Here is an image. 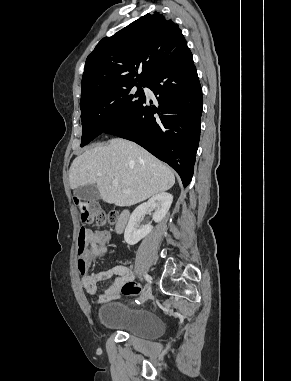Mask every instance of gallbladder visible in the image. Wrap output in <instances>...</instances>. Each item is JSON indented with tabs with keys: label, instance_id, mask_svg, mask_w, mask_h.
I'll list each match as a JSON object with an SVG mask.
<instances>
[{
	"label": "gallbladder",
	"instance_id": "obj_1",
	"mask_svg": "<svg viewBox=\"0 0 291 381\" xmlns=\"http://www.w3.org/2000/svg\"><path fill=\"white\" fill-rule=\"evenodd\" d=\"M74 196L84 201L100 199V193L95 185L80 186L74 190Z\"/></svg>",
	"mask_w": 291,
	"mask_h": 381
}]
</instances>
